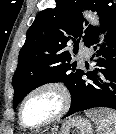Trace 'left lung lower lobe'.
<instances>
[{"label": "left lung lower lobe", "mask_w": 116, "mask_h": 134, "mask_svg": "<svg viewBox=\"0 0 116 134\" xmlns=\"http://www.w3.org/2000/svg\"><path fill=\"white\" fill-rule=\"evenodd\" d=\"M102 32H106L103 45H97L99 30L91 40L89 46H94L97 56H100L94 71L81 72L77 81L70 109L66 116L76 112L98 107L116 109V6L105 17ZM86 75L91 81L86 82L82 76Z\"/></svg>", "instance_id": "1"}]
</instances>
